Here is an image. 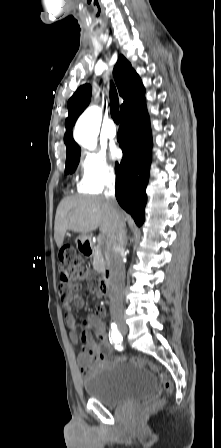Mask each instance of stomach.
Instances as JSON below:
<instances>
[{"label": "stomach", "instance_id": "1", "mask_svg": "<svg viewBox=\"0 0 221 448\" xmlns=\"http://www.w3.org/2000/svg\"><path fill=\"white\" fill-rule=\"evenodd\" d=\"M79 239L83 240V239H85V237L82 236V237H79Z\"/></svg>", "mask_w": 221, "mask_h": 448}]
</instances>
